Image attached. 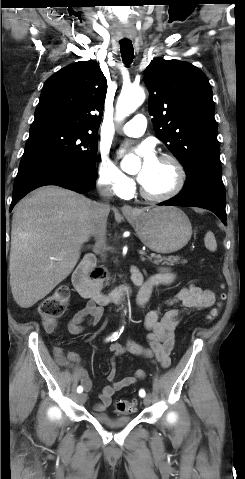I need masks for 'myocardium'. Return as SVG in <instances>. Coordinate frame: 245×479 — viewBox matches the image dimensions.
<instances>
[{
    "mask_svg": "<svg viewBox=\"0 0 245 479\" xmlns=\"http://www.w3.org/2000/svg\"><path fill=\"white\" fill-rule=\"evenodd\" d=\"M158 159L171 164L174 170V182L171 188L162 194H151L146 191L142 185H140L139 190L141 196L151 202H164L172 199L183 189L186 180L185 169L176 156L169 153H163L158 157Z\"/></svg>",
    "mask_w": 245,
    "mask_h": 479,
    "instance_id": "f54148a6",
    "label": "myocardium"
}]
</instances>
